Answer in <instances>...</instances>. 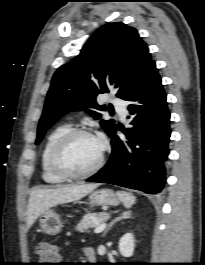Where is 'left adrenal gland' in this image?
Returning a JSON list of instances; mask_svg holds the SVG:
<instances>
[{
	"label": "left adrenal gland",
	"instance_id": "obj_1",
	"mask_svg": "<svg viewBox=\"0 0 205 265\" xmlns=\"http://www.w3.org/2000/svg\"><path fill=\"white\" fill-rule=\"evenodd\" d=\"M131 217V211H125L122 212L120 214V216L116 217L114 220H112V222H110V224L108 225V227L106 228V230L103 232L102 236L104 237L107 232L110 230V228L119 220L124 219V218H130Z\"/></svg>",
	"mask_w": 205,
	"mask_h": 265
}]
</instances>
